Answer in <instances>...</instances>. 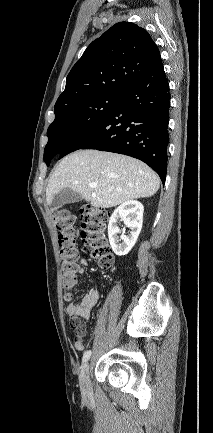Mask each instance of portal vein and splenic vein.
Here are the masks:
<instances>
[{"label":"portal vein and splenic vein","mask_w":213,"mask_h":433,"mask_svg":"<svg viewBox=\"0 0 213 433\" xmlns=\"http://www.w3.org/2000/svg\"><path fill=\"white\" fill-rule=\"evenodd\" d=\"M88 186H89L90 188H95V187L97 186V184H96V183H89Z\"/></svg>","instance_id":"portal-vein-and-splenic-vein-1"}]
</instances>
